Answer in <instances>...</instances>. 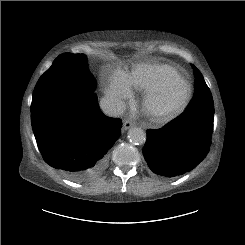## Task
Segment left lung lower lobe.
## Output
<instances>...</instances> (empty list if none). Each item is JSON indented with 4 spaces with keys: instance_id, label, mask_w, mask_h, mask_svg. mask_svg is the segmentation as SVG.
<instances>
[{
    "instance_id": "0a47b994",
    "label": "left lung lower lobe",
    "mask_w": 245,
    "mask_h": 245,
    "mask_svg": "<svg viewBox=\"0 0 245 245\" xmlns=\"http://www.w3.org/2000/svg\"><path fill=\"white\" fill-rule=\"evenodd\" d=\"M206 89V85L201 84L194 94L195 100L205 98ZM200 101L188 105L164 127L147 130L143 154L155 174L168 178L180 176L206 157L213 133L214 102L213 98Z\"/></svg>"
}]
</instances>
